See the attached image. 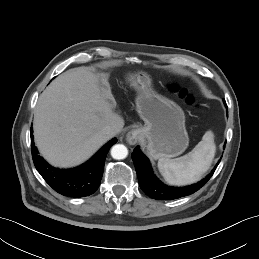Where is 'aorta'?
<instances>
[{"label":"aorta","mask_w":259,"mask_h":259,"mask_svg":"<svg viewBox=\"0 0 259 259\" xmlns=\"http://www.w3.org/2000/svg\"><path fill=\"white\" fill-rule=\"evenodd\" d=\"M128 155V149L123 144L114 145L111 149V156L116 160L126 158Z\"/></svg>","instance_id":"1"}]
</instances>
